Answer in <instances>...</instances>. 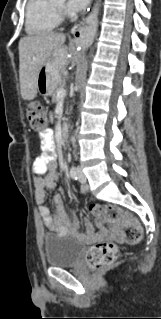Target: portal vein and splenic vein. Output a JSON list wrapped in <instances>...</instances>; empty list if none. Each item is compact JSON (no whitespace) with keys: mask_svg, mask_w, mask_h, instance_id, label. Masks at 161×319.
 Segmentation results:
<instances>
[{"mask_svg":"<svg viewBox=\"0 0 161 319\" xmlns=\"http://www.w3.org/2000/svg\"><path fill=\"white\" fill-rule=\"evenodd\" d=\"M66 95V91L65 89H59L58 92H57V97L58 98H63L64 96Z\"/></svg>","mask_w":161,"mask_h":319,"instance_id":"18ae733b","label":"portal vein and splenic vein"}]
</instances>
